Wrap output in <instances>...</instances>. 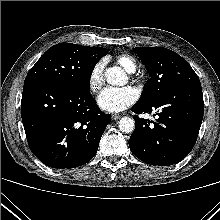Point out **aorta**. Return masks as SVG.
I'll return each mask as SVG.
<instances>
[{
    "label": "aorta",
    "instance_id": "762f6f07",
    "mask_svg": "<svg viewBox=\"0 0 220 220\" xmlns=\"http://www.w3.org/2000/svg\"><path fill=\"white\" fill-rule=\"evenodd\" d=\"M105 78L107 83L111 85H124L127 82V77L120 67H109L105 71ZM119 129L123 133H131L135 128V121L130 117H122L119 121Z\"/></svg>",
    "mask_w": 220,
    "mask_h": 220
}]
</instances>
